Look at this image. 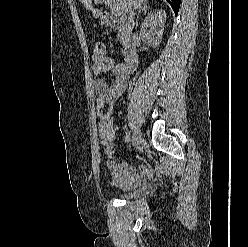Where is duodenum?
Segmentation results:
<instances>
[{
    "instance_id": "410a0bca",
    "label": "duodenum",
    "mask_w": 248,
    "mask_h": 247,
    "mask_svg": "<svg viewBox=\"0 0 248 247\" xmlns=\"http://www.w3.org/2000/svg\"><path fill=\"white\" fill-rule=\"evenodd\" d=\"M102 18L108 26L120 30L125 47V67L127 70H134L138 64V40L132 33L133 24L127 20L117 22L110 13H103Z\"/></svg>"
}]
</instances>
